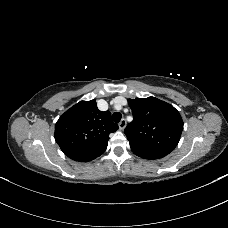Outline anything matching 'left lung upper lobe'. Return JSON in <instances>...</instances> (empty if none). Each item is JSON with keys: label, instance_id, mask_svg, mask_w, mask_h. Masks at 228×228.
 I'll list each match as a JSON object with an SVG mask.
<instances>
[{"label": "left lung upper lobe", "instance_id": "5c2ea615", "mask_svg": "<svg viewBox=\"0 0 228 228\" xmlns=\"http://www.w3.org/2000/svg\"><path fill=\"white\" fill-rule=\"evenodd\" d=\"M133 121L125 128L132 151L168 155L177 146L183 130L179 112L155 97L128 100Z\"/></svg>", "mask_w": 228, "mask_h": 228}]
</instances>
